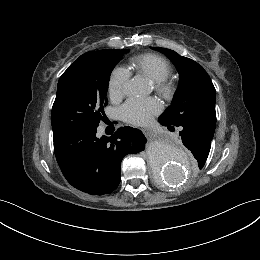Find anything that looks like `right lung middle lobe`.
Returning a JSON list of instances; mask_svg holds the SVG:
<instances>
[{
    "mask_svg": "<svg viewBox=\"0 0 260 260\" xmlns=\"http://www.w3.org/2000/svg\"><path fill=\"white\" fill-rule=\"evenodd\" d=\"M127 50H99L81 55L60 77L52 107L53 134L98 127L110 74Z\"/></svg>",
    "mask_w": 260,
    "mask_h": 260,
    "instance_id": "obj_1",
    "label": "right lung middle lobe"
}]
</instances>
